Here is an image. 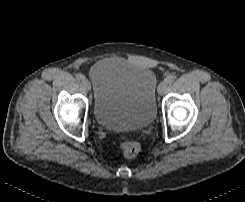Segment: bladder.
<instances>
[{
  "label": "bladder",
  "mask_w": 245,
  "mask_h": 202,
  "mask_svg": "<svg viewBox=\"0 0 245 202\" xmlns=\"http://www.w3.org/2000/svg\"><path fill=\"white\" fill-rule=\"evenodd\" d=\"M92 112L102 127L122 132L145 129L157 113V77L152 69L120 59L99 62L90 70Z\"/></svg>",
  "instance_id": "1"
}]
</instances>
